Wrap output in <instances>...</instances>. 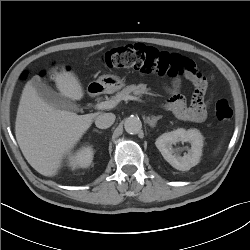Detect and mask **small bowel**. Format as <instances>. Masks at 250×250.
<instances>
[{
  "label": "small bowel",
  "mask_w": 250,
  "mask_h": 250,
  "mask_svg": "<svg viewBox=\"0 0 250 250\" xmlns=\"http://www.w3.org/2000/svg\"><path fill=\"white\" fill-rule=\"evenodd\" d=\"M187 79L195 84L197 77L188 75ZM181 80L176 78L172 81L170 87L167 88L169 98L165 101L164 107L170 110L174 115L184 121L201 123L207 118V110L205 101L194 102L188 106L184 98L179 94Z\"/></svg>",
  "instance_id": "small-bowel-1"
}]
</instances>
